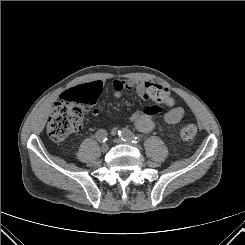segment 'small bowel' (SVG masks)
I'll use <instances>...</instances> for the list:
<instances>
[{
  "instance_id": "obj_1",
  "label": "small bowel",
  "mask_w": 245,
  "mask_h": 245,
  "mask_svg": "<svg viewBox=\"0 0 245 245\" xmlns=\"http://www.w3.org/2000/svg\"><path fill=\"white\" fill-rule=\"evenodd\" d=\"M101 85V82L97 81ZM114 97L120 98L125 91L134 90L137 95L144 100H152L154 105L143 110L134 111L129 120L143 133L154 130L161 124L172 125L180 122L185 115L184 108L175 106L176 96L169 92L167 88L151 83L136 80L117 79L113 81ZM93 116L99 114V110L94 108ZM162 114L159 119L154 116ZM115 133L116 130L114 129Z\"/></svg>"
}]
</instances>
